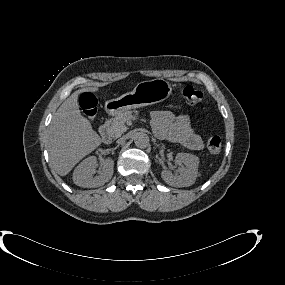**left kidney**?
<instances>
[{"label":"left kidney","mask_w":285,"mask_h":285,"mask_svg":"<svg viewBox=\"0 0 285 285\" xmlns=\"http://www.w3.org/2000/svg\"><path fill=\"white\" fill-rule=\"evenodd\" d=\"M176 161L181 164L178 173L172 174L169 170H163L162 179L174 187H187L194 184L198 174L199 158L189 153H178Z\"/></svg>","instance_id":"1"}]
</instances>
